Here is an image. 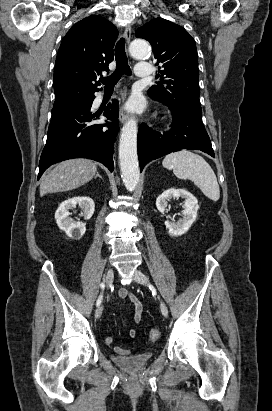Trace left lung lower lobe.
Returning <instances> with one entry per match:
<instances>
[{
  "mask_svg": "<svg viewBox=\"0 0 272 411\" xmlns=\"http://www.w3.org/2000/svg\"><path fill=\"white\" fill-rule=\"evenodd\" d=\"M171 113L172 128L167 132L160 133L146 124L140 125L137 144L141 171L149 161L179 150H201L215 157L202 117L177 114L173 110Z\"/></svg>",
  "mask_w": 272,
  "mask_h": 411,
  "instance_id": "left-lung-lower-lobe-1",
  "label": "left lung lower lobe"
}]
</instances>
